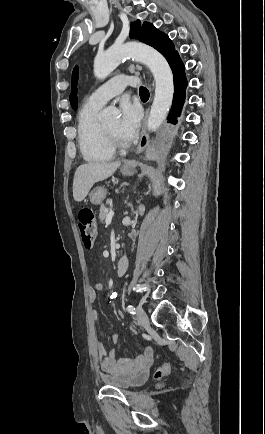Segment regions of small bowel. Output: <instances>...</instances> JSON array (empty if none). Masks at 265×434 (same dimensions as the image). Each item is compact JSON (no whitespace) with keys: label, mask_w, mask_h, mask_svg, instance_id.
Instances as JSON below:
<instances>
[{"label":"small bowel","mask_w":265,"mask_h":434,"mask_svg":"<svg viewBox=\"0 0 265 434\" xmlns=\"http://www.w3.org/2000/svg\"><path fill=\"white\" fill-rule=\"evenodd\" d=\"M103 290V285L100 282L95 283L88 289V297L91 302H94L97 293ZM91 318L94 321L99 319L97 310L91 312ZM114 341L119 339L114 337ZM95 359L102 372V377L108 382V385L117 387L119 384L123 386H132L142 384L149 378L147 372L148 366L151 364L154 356V351L151 347H145L143 354L135 358H117V350H107L104 342L99 336L94 338ZM109 375V376H108Z\"/></svg>","instance_id":"c3829d8e"}]
</instances>
